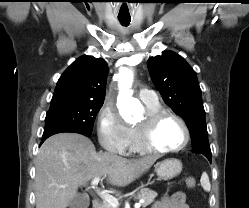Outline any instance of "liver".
<instances>
[{
  "mask_svg": "<svg viewBox=\"0 0 249 208\" xmlns=\"http://www.w3.org/2000/svg\"><path fill=\"white\" fill-rule=\"evenodd\" d=\"M157 157L126 159L97 153L87 137L59 133L49 137L36 158V208H66L84 186L96 177H108L111 184L124 187L148 171Z\"/></svg>",
  "mask_w": 249,
  "mask_h": 208,
  "instance_id": "obj_1",
  "label": "liver"
}]
</instances>
